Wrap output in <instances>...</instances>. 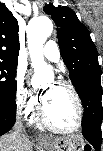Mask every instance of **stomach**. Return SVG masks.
<instances>
[{"label":"stomach","instance_id":"1","mask_svg":"<svg viewBox=\"0 0 103 151\" xmlns=\"http://www.w3.org/2000/svg\"><path fill=\"white\" fill-rule=\"evenodd\" d=\"M42 145L47 151H84L86 144L79 136H67L45 140Z\"/></svg>","mask_w":103,"mask_h":151}]
</instances>
